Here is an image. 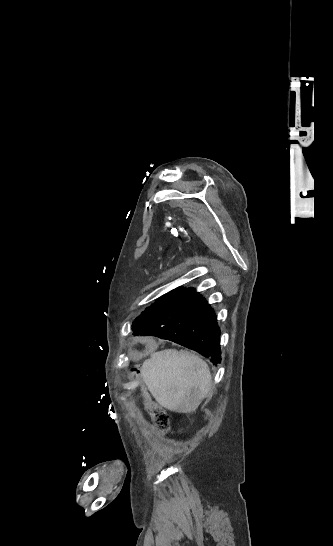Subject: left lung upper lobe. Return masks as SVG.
<instances>
[{"instance_id":"left-lung-upper-lobe-1","label":"left lung upper lobe","mask_w":333,"mask_h":546,"mask_svg":"<svg viewBox=\"0 0 333 546\" xmlns=\"http://www.w3.org/2000/svg\"><path fill=\"white\" fill-rule=\"evenodd\" d=\"M186 289L184 288H178L171 292H169L167 295L161 297L159 300H157L154 304L146 308L145 311H143L134 321L136 326L140 328L150 317H152L161 307L167 305L168 303L172 302L173 300L177 299L181 293H183Z\"/></svg>"}]
</instances>
